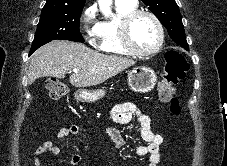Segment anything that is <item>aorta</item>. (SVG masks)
<instances>
[{"label":"aorta","mask_w":227,"mask_h":166,"mask_svg":"<svg viewBox=\"0 0 227 166\" xmlns=\"http://www.w3.org/2000/svg\"><path fill=\"white\" fill-rule=\"evenodd\" d=\"M99 6H100V10L102 11V13H104L105 15L110 14L111 13V4H112V0H98Z\"/></svg>","instance_id":"obj_1"}]
</instances>
